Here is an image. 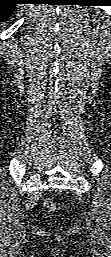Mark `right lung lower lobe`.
I'll return each mask as SVG.
<instances>
[{"label":"right lung lower lobe","instance_id":"98d812e1","mask_svg":"<svg viewBox=\"0 0 111 257\" xmlns=\"http://www.w3.org/2000/svg\"><path fill=\"white\" fill-rule=\"evenodd\" d=\"M21 0H0V20H6L13 13L16 4Z\"/></svg>","mask_w":111,"mask_h":257}]
</instances>
